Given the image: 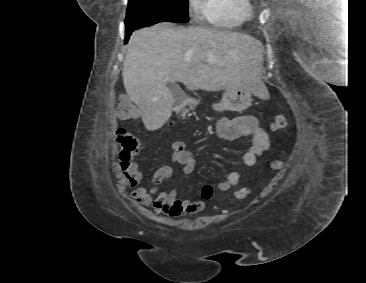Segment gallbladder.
<instances>
[{"instance_id":"1","label":"gallbladder","mask_w":366,"mask_h":283,"mask_svg":"<svg viewBox=\"0 0 366 283\" xmlns=\"http://www.w3.org/2000/svg\"><path fill=\"white\" fill-rule=\"evenodd\" d=\"M169 88H170V91L174 98L175 106H178L182 102V98H183L182 92H181L180 88L175 83H172V82H170Z\"/></svg>"}]
</instances>
